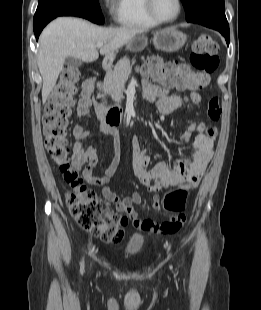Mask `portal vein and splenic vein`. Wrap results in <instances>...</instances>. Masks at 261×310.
I'll return each mask as SVG.
<instances>
[{"instance_id": "obj_1", "label": "portal vein and splenic vein", "mask_w": 261, "mask_h": 310, "mask_svg": "<svg viewBox=\"0 0 261 310\" xmlns=\"http://www.w3.org/2000/svg\"><path fill=\"white\" fill-rule=\"evenodd\" d=\"M96 47H97V48L103 47V43H98V44L96 45Z\"/></svg>"}]
</instances>
